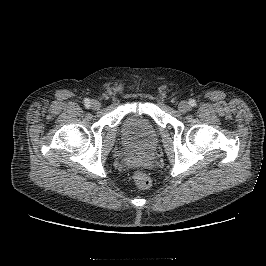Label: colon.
<instances>
[{
  "instance_id": "1",
  "label": "colon",
  "mask_w": 266,
  "mask_h": 266,
  "mask_svg": "<svg viewBox=\"0 0 266 266\" xmlns=\"http://www.w3.org/2000/svg\"><path fill=\"white\" fill-rule=\"evenodd\" d=\"M133 180L135 185L140 189H147L151 185V179L147 173L144 171L138 170L133 174Z\"/></svg>"
}]
</instances>
